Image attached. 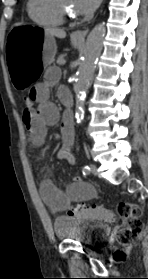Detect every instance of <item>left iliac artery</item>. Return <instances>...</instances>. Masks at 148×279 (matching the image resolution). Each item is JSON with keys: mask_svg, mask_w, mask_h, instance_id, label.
I'll return each mask as SVG.
<instances>
[{"mask_svg": "<svg viewBox=\"0 0 148 279\" xmlns=\"http://www.w3.org/2000/svg\"><path fill=\"white\" fill-rule=\"evenodd\" d=\"M82 171H83V174H84V175L89 174V172H90V167L86 165V166L83 167V170H82Z\"/></svg>", "mask_w": 148, "mask_h": 279, "instance_id": "left-iliac-artery-1", "label": "left iliac artery"}]
</instances>
